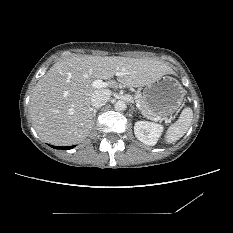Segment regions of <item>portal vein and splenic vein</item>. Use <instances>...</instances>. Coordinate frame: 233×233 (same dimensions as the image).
I'll list each match as a JSON object with an SVG mask.
<instances>
[{"mask_svg": "<svg viewBox=\"0 0 233 233\" xmlns=\"http://www.w3.org/2000/svg\"><path fill=\"white\" fill-rule=\"evenodd\" d=\"M92 86L94 88L99 89V88H102V87H106L107 83L102 81L101 79H97V80L93 81ZM136 106H137L138 109H140V104L138 102H136ZM159 119H160V117L155 118V120H159Z\"/></svg>", "mask_w": 233, "mask_h": 233, "instance_id": "18ae733b", "label": "portal vein and splenic vein"}]
</instances>
